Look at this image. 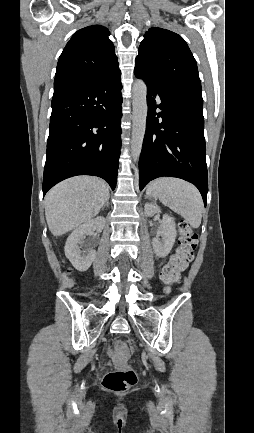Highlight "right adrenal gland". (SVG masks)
Listing matches in <instances>:
<instances>
[{"label":"right adrenal gland","mask_w":254,"mask_h":433,"mask_svg":"<svg viewBox=\"0 0 254 433\" xmlns=\"http://www.w3.org/2000/svg\"><path fill=\"white\" fill-rule=\"evenodd\" d=\"M108 206H109V197L107 198V201H106L105 205L103 206V209H104L105 207H108Z\"/></svg>","instance_id":"2a0ac1e0"}]
</instances>
